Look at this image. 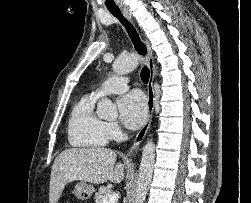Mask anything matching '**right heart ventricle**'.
Masks as SVG:
<instances>
[{"label": "right heart ventricle", "mask_w": 251, "mask_h": 203, "mask_svg": "<svg viewBox=\"0 0 251 203\" xmlns=\"http://www.w3.org/2000/svg\"><path fill=\"white\" fill-rule=\"evenodd\" d=\"M96 100L93 95H86L74 106L68 123V139L71 145L100 148L107 144L109 138L105 122L94 113Z\"/></svg>", "instance_id": "right-heart-ventricle-1"}]
</instances>
